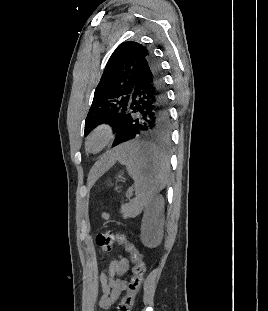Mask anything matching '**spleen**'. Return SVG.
I'll list each match as a JSON object with an SVG mask.
<instances>
[{
	"label": "spleen",
	"mask_w": 268,
	"mask_h": 311,
	"mask_svg": "<svg viewBox=\"0 0 268 311\" xmlns=\"http://www.w3.org/2000/svg\"><path fill=\"white\" fill-rule=\"evenodd\" d=\"M118 160L134 180L135 198L121 206L124 218L139 215L168 182L169 162L148 140H122L116 144Z\"/></svg>",
	"instance_id": "spleen-1"
}]
</instances>
